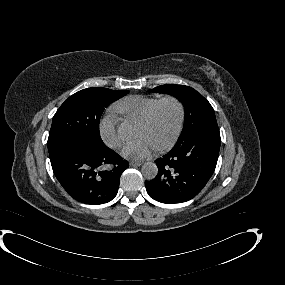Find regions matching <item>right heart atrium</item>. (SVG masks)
I'll list each match as a JSON object with an SVG mask.
<instances>
[{
    "label": "right heart atrium",
    "mask_w": 285,
    "mask_h": 285,
    "mask_svg": "<svg viewBox=\"0 0 285 285\" xmlns=\"http://www.w3.org/2000/svg\"><path fill=\"white\" fill-rule=\"evenodd\" d=\"M100 133L109 147H118L124 140L123 134L118 127V121L112 115L103 118L100 124Z\"/></svg>",
    "instance_id": "obj_1"
}]
</instances>
